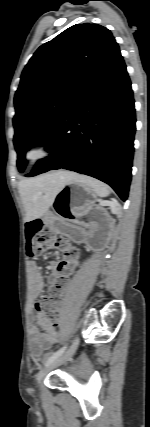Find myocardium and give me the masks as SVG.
Masks as SVG:
<instances>
[{
	"label": "myocardium",
	"instance_id": "myocardium-1",
	"mask_svg": "<svg viewBox=\"0 0 150 427\" xmlns=\"http://www.w3.org/2000/svg\"><path fill=\"white\" fill-rule=\"evenodd\" d=\"M54 152V146L48 138L38 137L25 147L23 159L28 166L33 167L53 156Z\"/></svg>",
	"mask_w": 150,
	"mask_h": 427
}]
</instances>
